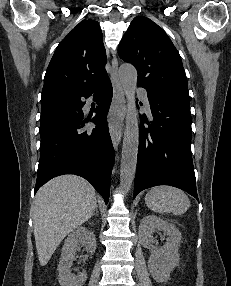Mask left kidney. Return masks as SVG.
Returning a JSON list of instances; mask_svg holds the SVG:
<instances>
[{
  "label": "left kidney",
  "mask_w": 231,
  "mask_h": 286,
  "mask_svg": "<svg viewBox=\"0 0 231 286\" xmlns=\"http://www.w3.org/2000/svg\"><path fill=\"white\" fill-rule=\"evenodd\" d=\"M163 231L167 235L166 243L161 247H154L153 232ZM139 237L144 247L151 251L148 269L151 276L158 282H166L171 271L179 264V247L181 233L172 223L155 215L145 216L139 226Z\"/></svg>",
  "instance_id": "1"
}]
</instances>
